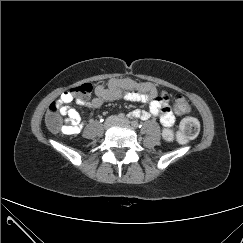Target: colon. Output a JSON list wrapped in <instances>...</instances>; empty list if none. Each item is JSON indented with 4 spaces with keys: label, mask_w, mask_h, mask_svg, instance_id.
Instances as JSON below:
<instances>
[{
    "label": "colon",
    "mask_w": 243,
    "mask_h": 243,
    "mask_svg": "<svg viewBox=\"0 0 243 243\" xmlns=\"http://www.w3.org/2000/svg\"><path fill=\"white\" fill-rule=\"evenodd\" d=\"M92 91L93 85L91 83H85L70 90L73 96H78L82 98L88 97L92 93ZM173 110L178 115H185L190 111V104L184 95H175ZM59 113L60 105L56 101L52 102L48 108L45 117L46 125L52 132H58L62 129L59 119ZM199 130L200 125L198 120L193 117H187L181 122L179 132L174 133L171 129H164L163 138L166 141H172L174 139H177L181 143H186L194 139L198 135Z\"/></svg>",
    "instance_id": "obj_1"
}]
</instances>
